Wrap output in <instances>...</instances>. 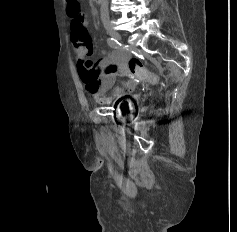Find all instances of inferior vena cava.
<instances>
[{
    "label": "inferior vena cava",
    "instance_id": "inferior-vena-cava-1",
    "mask_svg": "<svg viewBox=\"0 0 237 232\" xmlns=\"http://www.w3.org/2000/svg\"><path fill=\"white\" fill-rule=\"evenodd\" d=\"M101 4L100 12L102 21L109 20V9H108V0H99Z\"/></svg>",
    "mask_w": 237,
    "mask_h": 232
}]
</instances>
